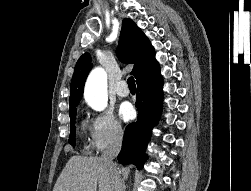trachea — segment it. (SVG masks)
I'll return each instance as SVG.
<instances>
[{"mask_svg": "<svg viewBox=\"0 0 251 191\" xmlns=\"http://www.w3.org/2000/svg\"><path fill=\"white\" fill-rule=\"evenodd\" d=\"M127 84L129 86V89H136V86H135V80L133 78V76H130L127 80Z\"/></svg>", "mask_w": 251, "mask_h": 191, "instance_id": "3493384b", "label": "trachea"}]
</instances>
